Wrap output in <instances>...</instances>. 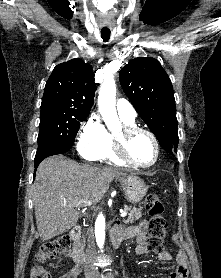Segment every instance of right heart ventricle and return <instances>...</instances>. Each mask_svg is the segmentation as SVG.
Segmentation results:
<instances>
[{"label": "right heart ventricle", "instance_id": "e07e8e85", "mask_svg": "<svg viewBox=\"0 0 221 278\" xmlns=\"http://www.w3.org/2000/svg\"><path fill=\"white\" fill-rule=\"evenodd\" d=\"M123 122L125 123L126 126H132L133 122H129L126 120H123ZM113 143H114V137L110 135L109 137V143L105 149V151L103 152L102 156H101V160L106 161L110 164H114V165H118V166H122L124 165V163H122L115 155L114 153V149H113Z\"/></svg>", "mask_w": 221, "mask_h": 278}]
</instances>
